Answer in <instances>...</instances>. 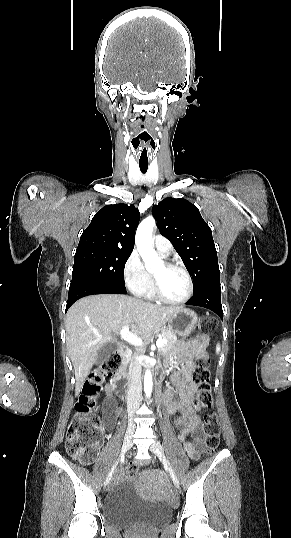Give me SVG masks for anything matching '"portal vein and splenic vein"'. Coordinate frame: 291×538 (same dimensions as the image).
I'll return each instance as SVG.
<instances>
[{"mask_svg":"<svg viewBox=\"0 0 291 538\" xmlns=\"http://www.w3.org/2000/svg\"><path fill=\"white\" fill-rule=\"evenodd\" d=\"M93 333L96 334V335H99V332L97 330H93ZM120 335L121 337L131 343L132 345L136 346V347H139V346H142L143 345V341L141 338H139L138 336H136L135 334L131 333L129 331V327L128 326H125L123 327L122 329H120ZM168 341L162 337H159L156 341V346L158 348L162 347V345L164 343H167Z\"/></svg>","mask_w":291,"mask_h":538,"instance_id":"obj_1","label":"portal vein and splenic vein"}]
</instances>
